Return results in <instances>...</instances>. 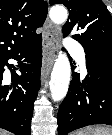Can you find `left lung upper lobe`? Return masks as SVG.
I'll return each mask as SVG.
<instances>
[{"mask_svg": "<svg viewBox=\"0 0 112 135\" xmlns=\"http://www.w3.org/2000/svg\"><path fill=\"white\" fill-rule=\"evenodd\" d=\"M50 4H63L69 10L64 36L77 31L72 38L86 54L112 57V17L101 0H50Z\"/></svg>", "mask_w": 112, "mask_h": 135, "instance_id": "1", "label": "left lung upper lobe"}]
</instances>
